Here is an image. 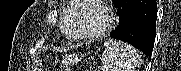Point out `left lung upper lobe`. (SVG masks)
Wrapping results in <instances>:
<instances>
[{"instance_id": "left-lung-upper-lobe-1", "label": "left lung upper lobe", "mask_w": 181, "mask_h": 71, "mask_svg": "<svg viewBox=\"0 0 181 71\" xmlns=\"http://www.w3.org/2000/svg\"><path fill=\"white\" fill-rule=\"evenodd\" d=\"M112 1H113L114 5H115V3H116L118 0H112Z\"/></svg>"}]
</instances>
